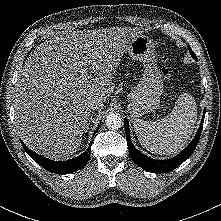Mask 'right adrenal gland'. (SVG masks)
<instances>
[{"mask_svg": "<svg viewBox=\"0 0 221 221\" xmlns=\"http://www.w3.org/2000/svg\"><path fill=\"white\" fill-rule=\"evenodd\" d=\"M91 119H92V117H90V120H89L88 125H87V127H86V131H87L88 128H89V125H90Z\"/></svg>", "mask_w": 221, "mask_h": 221, "instance_id": "right-adrenal-gland-1", "label": "right adrenal gland"}]
</instances>
